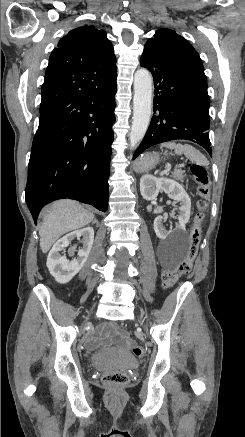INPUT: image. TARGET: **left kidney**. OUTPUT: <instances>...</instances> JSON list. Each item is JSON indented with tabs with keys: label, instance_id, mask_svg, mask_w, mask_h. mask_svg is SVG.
Here are the masks:
<instances>
[{
	"label": "left kidney",
	"instance_id": "obj_1",
	"mask_svg": "<svg viewBox=\"0 0 245 437\" xmlns=\"http://www.w3.org/2000/svg\"><path fill=\"white\" fill-rule=\"evenodd\" d=\"M159 191H164L175 202H179L180 207L175 208L178 210V223L174 230H166L163 226L164 217L158 216L154 220V231L156 236L162 240H165L169 236L178 238L185 234V225L190 218L191 199L186 193L185 189L178 182L168 178H157L152 175L146 174L140 179V192L142 197L151 201L156 199Z\"/></svg>",
	"mask_w": 245,
	"mask_h": 437
}]
</instances>
